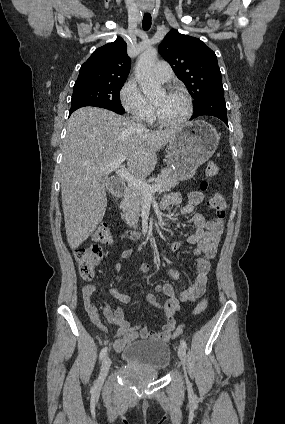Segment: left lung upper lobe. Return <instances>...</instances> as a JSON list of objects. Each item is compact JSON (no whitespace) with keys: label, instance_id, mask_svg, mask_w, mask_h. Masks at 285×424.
<instances>
[{"label":"left lung upper lobe","instance_id":"1","mask_svg":"<svg viewBox=\"0 0 285 424\" xmlns=\"http://www.w3.org/2000/svg\"><path fill=\"white\" fill-rule=\"evenodd\" d=\"M159 52L186 85L194 99L193 108L209 97L224 95L217 57L200 39L172 29Z\"/></svg>","mask_w":285,"mask_h":424}]
</instances>
